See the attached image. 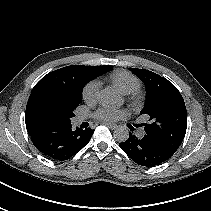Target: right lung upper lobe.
Listing matches in <instances>:
<instances>
[{
  "instance_id": "cb5924a9",
  "label": "right lung upper lobe",
  "mask_w": 211,
  "mask_h": 211,
  "mask_svg": "<svg viewBox=\"0 0 211 211\" xmlns=\"http://www.w3.org/2000/svg\"><path fill=\"white\" fill-rule=\"evenodd\" d=\"M112 66L72 65L52 71L45 75L33 88L26 106L25 122L28 133L38 132L36 109L39 102L45 98H59L71 94L81 83H87L96 76L111 70Z\"/></svg>"
}]
</instances>
